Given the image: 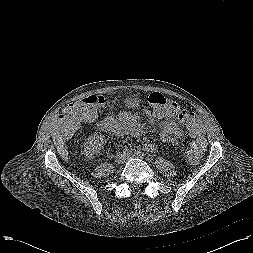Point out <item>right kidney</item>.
Listing matches in <instances>:
<instances>
[{"label": "right kidney", "instance_id": "obj_1", "mask_svg": "<svg viewBox=\"0 0 253 253\" xmlns=\"http://www.w3.org/2000/svg\"><path fill=\"white\" fill-rule=\"evenodd\" d=\"M103 142L102 136L99 135L88 138L84 143L83 154L85 157L87 159H93L96 155H98L103 147Z\"/></svg>", "mask_w": 253, "mask_h": 253}]
</instances>
